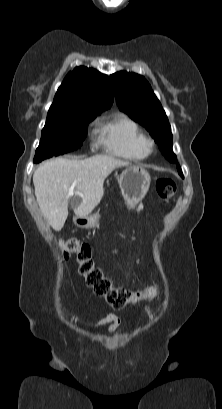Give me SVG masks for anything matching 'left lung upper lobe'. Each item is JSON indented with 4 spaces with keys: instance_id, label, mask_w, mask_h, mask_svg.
<instances>
[{
    "instance_id": "obj_1",
    "label": "left lung upper lobe",
    "mask_w": 222,
    "mask_h": 409,
    "mask_svg": "<svg viewBox=\"0 0 222 409\" xmlns=\"http://www.w3.org/2000/svg\"><path fill=\"white\" fill-rule=\"evenodd\" d=\"M117 105L150 132L162 154L176 163L183 177L176 155L172 152V134L168 118L147 80L138 74L120 71L110 76Z\"/></svg>"
}]
</instances>
